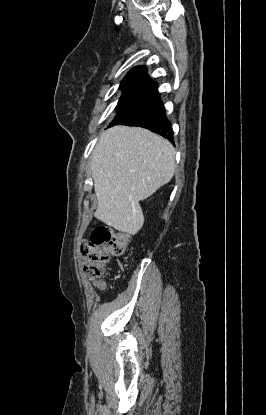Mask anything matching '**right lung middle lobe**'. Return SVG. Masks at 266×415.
Masks as SVG:
<instances>
[{
    "label": "right lung middle lobe",
    "mask_w": 266,
    "mask_h": 415,
    "mask_svg": "<svg viewBox=\"0 0 266 415\" xmlns=\"http://www.w3.org/2000/svg\"><path fill=\"white\" fill-rule=\"evenodd\" d=\"M148 95L142 94V93H129V92H123L121 98L119 99L117 110L118 113L129 108L130 106L140 102L144 98H146Z\"/></svg>",
    "instance_id": "obj_1"
}]
</instances>
